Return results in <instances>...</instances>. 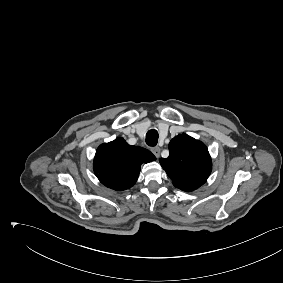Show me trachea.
I'll return each mask as SVG.
<instances>
[{"instance_id": "trachea-1", "label": "trachea", "mask_w": 283, "mask_h": 283, "mask_svg": "<svg viewBox=\"0 0 283 283\" xmlns=\"http://www.w3.org/2000/svg\"><path fill=\"white\" fill-rule=\"evenodd\" d=\"M158 132L155 129H151L146 134V144L148 146H156L158 142Z\"/></svg>"}]
</instances>
